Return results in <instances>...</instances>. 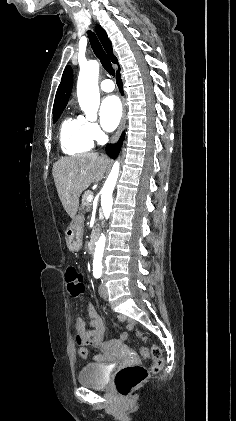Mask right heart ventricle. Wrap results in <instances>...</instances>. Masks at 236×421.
Here are the masks:
<instances>
[{"label":"right heart ventricle","mask_w":236,"mask_h":421,"mask_svg":"<svg viewBox=\"0 0 236 421\" xmlns=\"http://www.w3.org/2000/svg\"><path fill=\"white\" fill-rule=\"evenodd\" d=\"M59 142L62 152L68 156H79L93 148V139L88 133L82 117H66L62 121Z\"/></svg>","instance_id":"obj_1"}]
</instances>
